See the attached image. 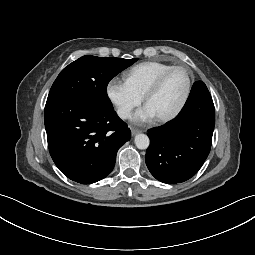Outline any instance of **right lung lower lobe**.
<instances>
[{"label": "right lung lower lobe", "mask_w": 255, "mask_h": 255, "mask_svg": "<svg viewBox=\"0 0 255 255\" xmlns=\"http://www.w3.org/2000/svg\"><path fill=\"white\" fill-rule=\"evenodd\" d=\"M44 121L54 163L81 184L95 183L110 174L118 149L131 138L130 129L114 110L76 96L48 97Z\"/></svg>", "instance_id": "1"}]
</instances>
